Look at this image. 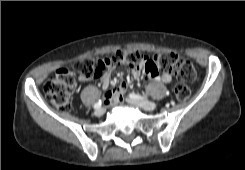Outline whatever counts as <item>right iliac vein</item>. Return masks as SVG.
I'll return each instance as SVG.
<instances>
[{"mask_svg":"<svg viewBox=\"0 0 245 170\" xmlns=\"http://www.w3.org/2000/svg\"><path fill=\"white\" fill-rule=\"evenodd\" d=\"M104 113V108L100 107L96 110V115L101 116Z\"/></svg>","mask_w":245,"mask_h":170,"instance_id":"1","label":"right iliac vein"}]
</instances>
